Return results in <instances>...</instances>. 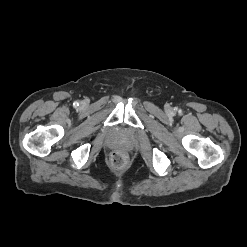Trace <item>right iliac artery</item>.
I'll return each instance as SVG.
<instances>
[{
  "instance_id": "82829eb1",
  "label": "right iliac artery",
  "mask_w": 247,
  "mask_h": 247,
  "mask_svg": "<svg viewBox=\"0 0 247 247\" xmlns=\"http://www.w3.org/2000/svg\"><path fill=\"white\" fill-rule=\"evenodd\" d=\"M73 105L77 107L79 105V103L76 101V102H74Z\"/></svg>"
}]
</instances>
